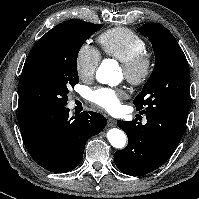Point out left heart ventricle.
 Masks as SVG:
<instances>
[{
    "label": "left heart ventricle",
    "mask_w": 199,
    "mask_h": 199,
    "mask_svg": "<svg viewBox=\"0 0 199 199\" xmlns=\"http://www.w3.org/2000/svg\"><path fill=\"white\" fill-rule=\"evenodd\" d=\"M122 74L125 75L123 69H122Z\"/></svg>",
    "instance_id": "1"
}]
</instances>
